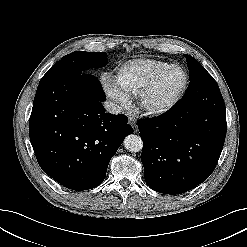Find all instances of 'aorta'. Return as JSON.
<instances>
[{
  "mask_svg": "<svg viewBox=\"0 0 247 247\" xmlns=\"http://www.w3.org/2000/svg\"><path fill=\"white\" fill-rule=\"evenodd\" d=\"M124 146L129 152H139L143 148V141L138 135H128L124 139Z\"/></svg>",
  "mask_w": 247,
  "mask_h": 247,
  "instance_id": "1",
  "label": "aorta"
}]
</instances>
